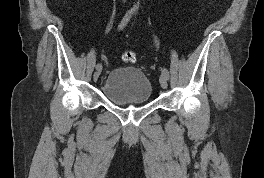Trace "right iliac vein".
Wrapping results in <instances>:
<instances>
[{"label":"right iliac vein","mask_w":264,"mask_h":178,"mask_svg":"<svg viewBox=\"0 0 264 178\" xmlns=\"http://www.w3.org/2000/svg\"><path fill=\"white\" fill-rule=\"evenodd\" d=\"M100 74H101V70H97V71L94 73V75H93V79H94V81H97V79L99 78Z\"/></svg>","instance_id":"1"}]
</instances>
